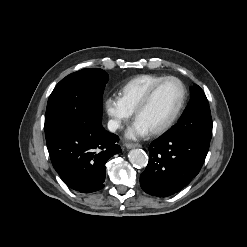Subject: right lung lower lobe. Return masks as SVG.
<instances>
[{"instance_id":"1","label":"right lung lower lobe","mask_w":247,"mask_h":247,"mask_svg":"<svg viewBox=\"0 0 247 247\" xmlns=\"http://www.w3.org/2000/svg\"><path fill=\"white\" fill-rule=\"evenodd\" d=\"M119 137L101 122L68 127L46 136L54 169L72 189L91 193L104 187L105 164L121 152Z\"/></svg>"}]
</instances>
